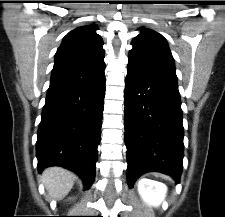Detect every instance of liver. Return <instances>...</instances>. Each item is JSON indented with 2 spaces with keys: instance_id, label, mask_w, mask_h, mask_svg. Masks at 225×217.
I'll return each mask as SVG.
<instances>
[{
  "instance_id": "liver-1",
  "label": "liver",
  "mask_w": 225,
  "mask_h": 217,
  "mask_svg": "<svg viewBox=\"0 0 225 217\" xmlns=\"http://www.w3.org/2000/svg\"><path fill=\"white\" fill-rule=\"evenodd\" d=\"M76 175L62 167H49L42 173L44 183L49 195L57 200L63 199L72 189Z\"/></svg>"
}]
</instances>
